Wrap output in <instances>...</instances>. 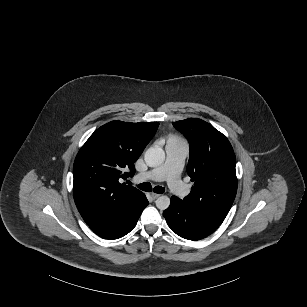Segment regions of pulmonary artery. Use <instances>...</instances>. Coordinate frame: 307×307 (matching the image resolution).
Segmentation results:
<instances>
[{
  "instance_id": "1",
  "label": "pulmonary artery",
  "mask_w": 307,
  "mask_h": 307,
  "mask_svg": "<svg viewBox=\"0 0 307 307\" xmlns=\"http://www.w3.org/2000/svg\"><path fill=\"white\" fill-rule=\"evenodd\" d=\"M167 158L160 168L148 171L145 174L137 175V181L150 180L157 178L156 181H166V187L169 191L175 194H183L188 189V184L181 179L182 163L187 153L186 149L173 143L166 147Z\"/></svg>"
}]
</instances>
